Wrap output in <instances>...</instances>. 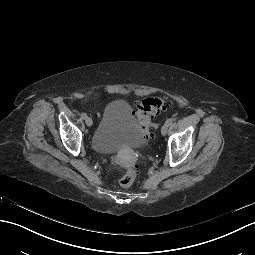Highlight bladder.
<instances>
[{
  "label": "bladder",
  "instance_id": "obj_1",
  "mask_svg": "<svg viewBox=\"0 0 255 255\" xmlns=\"http://www.w3.org/2000/svg\"><path fill=\"white\" fill-rule=\"evenodd\" d=\"M122 123L127 127L119 132L116 125ZM146 145V138L141 126L136 124L127 101L114 100L107 104L102 122L92 140V150L101 153L116 152L122 146Z\"/></svg>",
  "mask_w": 255,
  "mask_h": 255
}]
</instances>
